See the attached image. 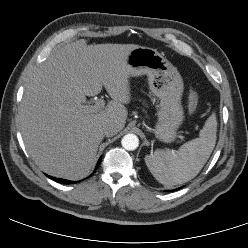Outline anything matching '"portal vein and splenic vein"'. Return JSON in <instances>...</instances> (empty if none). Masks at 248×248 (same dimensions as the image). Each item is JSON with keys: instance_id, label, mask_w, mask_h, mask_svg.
I'll return each instance as SVG.
<instances>
[{"instance_id": "18ae733b", "label": "portal vein and splenic vein", "mask_w": 248, "mask_h": 248, "mask_svg": "<svg viewBox=\"0 0 248 248\" xmlns=\"http://www.w3.org/2000/svg\"><path fill=\"white\" fill-rule=\"evenodd\" d=\"M81 108L90 110L92 112H97V111H101L104 109L105 107V102L102 99H98L96 101L93 102V104L91 105H80Z\"/></svg>"}]
</instances>
